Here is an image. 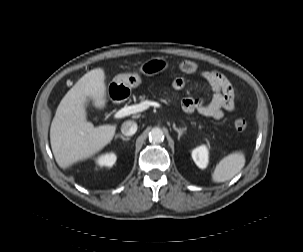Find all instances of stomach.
Returning a JSON list of instances; mask_svg holds the SVG:
<instances>
[{
	"mask_svg": "<svg viewBox=\"0 0 303 252\" xmlns=\"http://www.w3.org/2000/svg\"><path fill=\"white\" fill-rule=\"evenodd\" d=\"M168 61L163 57H154L146 60L140 66V72L151 76L163 72L168 68ZM141 84V77L137 73H124L115 76L110 85L127 89L136 88Z\"/></svg>",
	"mask_w": 303,
	"mask_h": 252,
	"instance_id": "stomach-1",
	"label": "stomach"
}]
</instances>
